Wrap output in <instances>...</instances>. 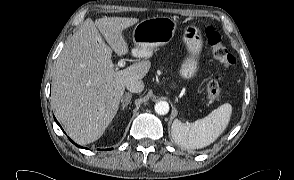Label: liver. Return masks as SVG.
Masks as SVG:
<instances>
[{
  "instance_id": "obj_1",
  "label": "liver",
  "mask_w": 294,
  "mask_h": 180,
  "mask_svg": "<svg viewBox=\"0 0 294 180\" xmlns=\"http://www.w3.org/2000/svg\"><path fill=\"white\" fill-rule=\"evenodd\" d=\"M138 21L128 17L87 19L56 59L52 107L67 134L80 145L103 135L119 109L126 84L141 80L149 71V61L118 70L111 59L112 51L119 56L128 53L122 31Z\"/></svg>"
}]
</instances>
